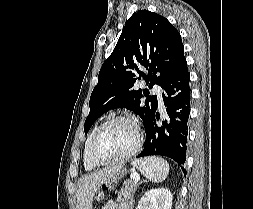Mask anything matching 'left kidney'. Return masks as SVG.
<instances>
[{
    "label": "left kidney",
    "instance_id": "1",
    "mask_svg": "<svg viewBox=\"0 0 253 209\" xmlns=\"http://www.w3.org/2000/svg\"><path fill=\"white\" fill-rule=\"evenodd\" d=\"M172 199L167 188L151 189L142 196L136 209H171Z\"/></svg>",
    "mask_w": 253,
    "mask_h": 209
}]
</instances>
